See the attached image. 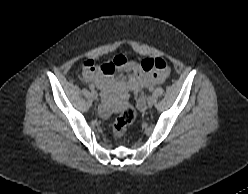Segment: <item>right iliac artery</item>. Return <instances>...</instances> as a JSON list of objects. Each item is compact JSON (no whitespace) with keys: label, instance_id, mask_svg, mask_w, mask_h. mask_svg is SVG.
<instances>
[{"label":"right iliac artery","instance_id":"right-iliac-artery-1","mask_svg":"<svg viewBox=\"0 0 248 194\" xmlns=\"http://www.w3.org/2000/svg\"><path fill=\"white\" fill-rule=\"evenodd\" d=\"M89 89H90L91 91H95V87H94L93 85H90V86H89Z\"/></svg>","mask_w":248,"mask_h":194}]
</instances>
